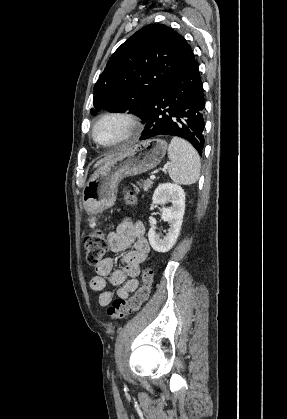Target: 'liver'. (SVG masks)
<instances>
[{"instance_id": "obj_1", "label": "liver", "mask_w": 287, "mask_h": 419, "mask_svg": "<svg viewBox=\"0 0 287 419\" xmlns=\"http://www.w3.org/2000/svg\"><path fill=\"white\" fill-rule=\"evenodd\" d=\"M114 154L108 155L106 157H104L103 159L99 160L96 164L95 167L100 166L101 164H103L104 162H106L107 160H109Z\"/></svg>"}]
</instances>
